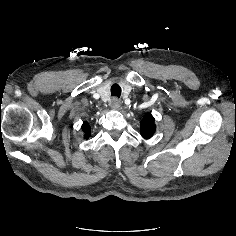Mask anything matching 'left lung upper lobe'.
<instances>
[{"label":"left lung upper lobe","mask_w":236,"mask_h":236,"mask_svg":"<svg viewBox=\"0 0 236 236\" xmlns=\"http://www.w3.org/2000/svg\"><path fill=\"white\" fill-rule=\"evenodd\" d=\"M156 126L154 124V117L148 113L144 116L141 121V135L145 139H149L152 137L155 132Z\"/></svg>","instance_id":"1"}]
</instances>
